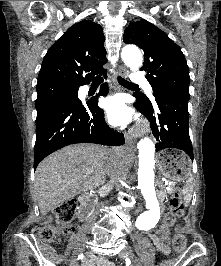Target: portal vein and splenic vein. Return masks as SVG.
<instances>
[{
  "label": "portal vein and splenic vein",
  "instance_id": "1",
  "mask_svg": "<svg viewBox=\"0 0 221 266\" xmlns=\"http://www.w3.org/2000/svg\"><path fill=\"white\" fill-rule=\"evenodd\" d=\"M165 185H168V181L165 180ZM166 189H169L168 187H166Z\"/></svg>",
  "mask_w": 221,
  "mask_h": 266
}]
</instances>
